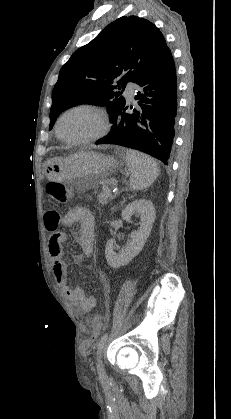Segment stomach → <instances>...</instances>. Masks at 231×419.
Segmentation results:
<instances>
[{
    "instance_id": "0dacf381",
    "label": "stomach",
    "mask_w": 231,
    "mask_h": 419,
    "mask_svg": "<svg viewBox=\"0 0 231 419\" xmlns=\"http://www.w3.org/2000/svg\"><path fill=\"white\" fill-rule=\"evenodd\" d=\"M120 164L118 158L96 151H80L67 157H59L45 162V176L50 181L73 183L77 191L98 184L100 180L116 171Z\"/></svg>"
}]
</instances>
